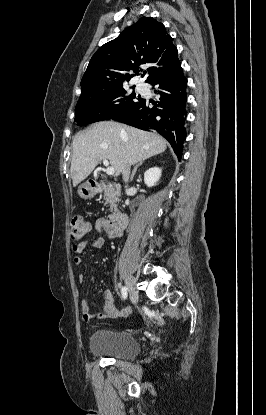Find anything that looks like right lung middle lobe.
Masks as SVG:
<instances>
[{"instance_id":"right-lung-middle-lobe-1","label":"right lung middle lobe","mask_w":266,"mask_h":415,"mask_svg":"<svg viewBox=\"0 0 266 415\" xmlns=\"http://www.w3.org/2000/svg\"><path fill=\"white\" fill-rule=\"evenodd\" d=\"M141 99L134 92L128 94L123 86L80 98L75 108V121L81 126L112 119L138 104Z\"/></svg>"}]
</instances>
